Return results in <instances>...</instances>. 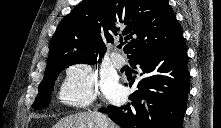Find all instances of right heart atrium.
Returning a JSON list of instances; mask_svg holds the SVG:
<instances>
[{"instance_id": "right-heart-atrium-1", "label": "right heart atrium", "mask_w": 221, "mask_h": 128, "mask_svg": "<svg viewBox=\"0 0 221 128\" xmlns=\"http://www.w3.org/2000/svg\"><path fill=\"white\" fill-rule=\"evenodd\" d=\"M60 97L70 107L91 104L97 97L95 73L84 61L70 64L64 71Z\"/></svg>"}]
</instances>
